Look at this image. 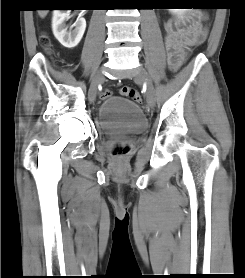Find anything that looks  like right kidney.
Instances as JSON below:
<instances>
[{
    "label": "right kidney",
    "mask_w": 245,
    "mask_h": 278,
    "mask_svg": "<svg viewBox=\"0 0 245 278\" xmlns=\"http://www.w3.org/2000/svg\"><path fill=\"white\" fill-rule=\"evenodd\" d=\"M70 18V10H54L52 30L56 39L66 48L72 49L81 41L86 29V21L79 17L74 23V29L67 30L66 22Z\"/></svg>",
    "instance_id": "right-kidney-1"
}]
</instances>
